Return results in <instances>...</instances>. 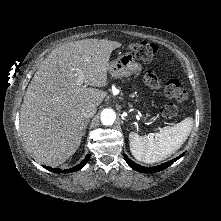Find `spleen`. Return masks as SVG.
Listing matches in <instances>:
<instances>
[{
  "label": "spleen",
  "instance_id": "obj_1",
  "mask_svg": "<svg viewBox=\"0 0 221 221\" xmlns=\"http://www.w3.org/2000/svg\"><path fill=\"white\" fill-rule=\"evenodd\" d=\"M193 128V118L188 117L174 126H166L158 133L140 136L129 134L130 151L134 158L145 163H156L174 154L187 140Z\"/></svg>",
  "mask_w": 221,
  "mask_h": 221
}]
</instances>
